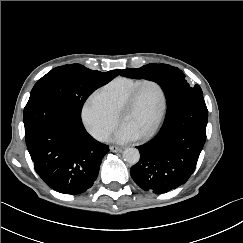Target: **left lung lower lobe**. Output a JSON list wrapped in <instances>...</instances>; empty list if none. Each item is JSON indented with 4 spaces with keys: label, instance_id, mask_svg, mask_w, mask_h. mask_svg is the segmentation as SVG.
<instances>
[{
    "label": "left lung lower lobe",
    "instance_id": "left-lung-lower-lobe-1",
    "mask_svg": "<svg viewBox=\"0 0 243 243\" xmlns=\"http://www.w3.org/2000/svg\"><path fill=\"white\" fill-rule=\"evenodd\" d=\"M207 121L203 96L190 98L166 114L158 134L137 146L140 160L130 169L135 183L156 194L184 184L194 172L206 141Z\"/></svg>",
    "mask_w": 243,
    "mask_h": 243
}]
</instances>
